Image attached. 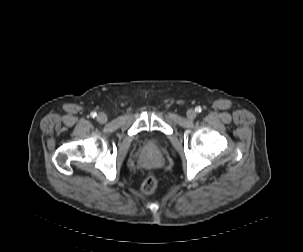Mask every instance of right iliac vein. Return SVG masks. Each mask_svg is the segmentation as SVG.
<instances>
[{"label": "right iliac vein", "mask_w": 303, "mask_h": 252, "mask_svg": "<svg viewBox=\"0 0 303 252\" xmlns=\"http://www.w3.org/2000/svg\"><path fill=\"white\" fill-rule=\"evenodd\" d=\"M107 120H108V118H107L106 114H104V113H99V114H98V116H97V121H98L99 123L104 124V123L107 122Z\"/></svg>", "instance_id": "63e3f726"}]
</instances>
